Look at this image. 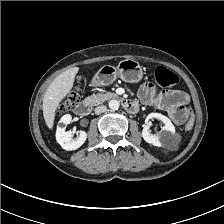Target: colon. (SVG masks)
<instances>
[{
  "mask_svg": "<svg viewBox=\"0 0 224 224\" xmlns=\"http://www.w3.org/2000/svg\"><path fill=\"white\" fill-rule=\"evenodd\" d=\"M155 78L158 84L165 87H172L178 83L177 75L163 66H159L156 68ZM76 101L77 98L74 95L69 96L62 103L61 110L66 111L70 109L76 103ZM184 116L186 119V129H190L192 127V118L188 109H184Z\"/></svg>",
  "mask_w": 224,
  "mask_h": 224,
  "instance_id": "1",
  "label": "colon"
}]
</instances>
